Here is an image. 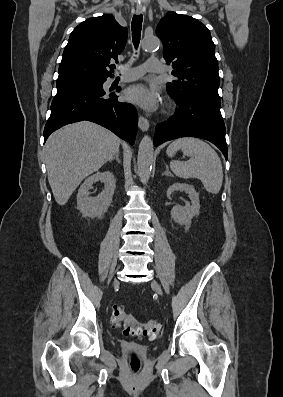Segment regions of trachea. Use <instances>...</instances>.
Listing matches in <instances>:
<instances>
[{
  "label": "trachea",
  "instance_id": "1",
  "mask_svg": "<svg viewBox=\"0 0 283 397\" xmlns=\"http://www.w3.org/2000/svg\"><path fill=\"white\" fill-rule=\"evenodd\" d=\"M142 21H143V16L141 14L134 15L132 18V24H131L132 38H133V44L136 49L138 48L141 37ZM113 68H115V66H113Z\"/></svg>",
  "mask_w": 283,
  "mask_h": 397
}]
</instances>
